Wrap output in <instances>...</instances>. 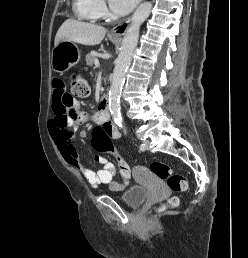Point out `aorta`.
I'll list each match as a JSON object with an SVG mask.
<instances>
[{
    "label": "aorta",
    "mask_w": 248,
    "mask_h": 258,
    "mask_svg": "<svg viewBox=\"0 0 248 258\" xmlns=\"http://www.w3.org/2000/svg\"><path fill=\"white\" fill-rule=\"evenodd\" d=\"M151 9V2H145L136 9L131 24L123 38L122 47L116 60L109 90V108L115 123L120 127L122 126L120 94L125 80V74L132 61L133 52L138 43L140 27L150 15Z\"/></svg>",
    "instance_id": "obj_1"
}]
</instances>
